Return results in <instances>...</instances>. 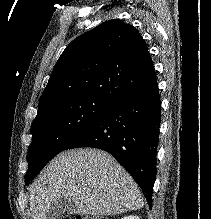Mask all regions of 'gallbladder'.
Instances as JSON below:
<instances>
[{"instance_id":"1","label":"gallbladder","mask_w":211,"mask_h":219,"mask_svg":"<svg viewBox=\"0 0 211 219\" xmlns=\"http://www.w3.org/2000/svg\"><path fill=\"white\" fill-rule=\"evenodd\" d=\"M73 208L74 204L71 199H59L51 205L47 219H62L64 214L72 211Z\"/></svg>"}]
</instances>
